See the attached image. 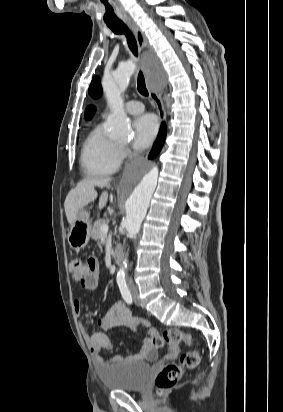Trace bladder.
<instances>
[{
	"label": "bladder",
	"instance_id": "31cf9c89",
	"mask_svg": "<svg viewBox=\"0 0 283 412\" xmlns=\"http://www.w3.org/2000/svg\"><path fill=\"white\" fill-rule=\"evenodd\" d=\"M149 370L147 363L123 362L109 366L99 378L108 389L138 391L146 386Z\"/></svg>",
	"mask_w": 283,
	"mask_h": 412
}]
</instances>
